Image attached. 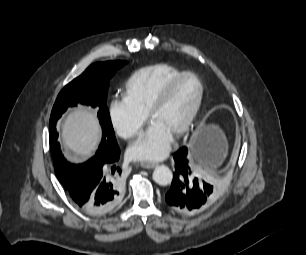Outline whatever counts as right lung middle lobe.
Instances as JSON below:
<instances>
[{"label":"right lung middle lobe","instance_id":"1","mask_svg":"<svg viewBox=\"0 0 306 255\" xmlns=\"http://www.w3.org/2000/svg\"><path fill=\"white\" fill-rule=\"evenodd\" d=\"M125 64V61H108L92 64L82 75L66 85L59 93L53 106L49 123L51 154L59 180L63 177L66 160L60 151V144L57 142L58 133H56L55 125L56 121L69 106H76L77 103H81L97 108V115L103 134L100 146L117 143L106 106L107 90L110 78L117 69Z\"/></svg>","mask_w":306,"mask_h":255}]
</instances>
